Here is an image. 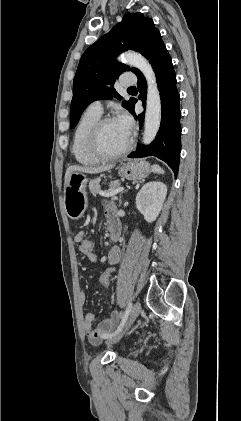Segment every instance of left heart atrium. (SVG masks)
<instances>
[{
	"label": "left heart atrium",
	"instance_id": "obj_1",
	"mask_svg": "<svg viewBox=\"0 0 241 421\" xmlns=\"http://www.w3.org/2000/svg\"><path fill=\"white\" fill-rule=\"evenodd\" d=\"M118 125L125 131V133L130 136L133 130V120L129 114L122 112L116 118Z\"/></svg>",
	"mask_w": 241,
	"mask_h": 421
}]
</instances>
